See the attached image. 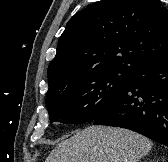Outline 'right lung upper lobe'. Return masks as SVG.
<instances>
[{
  "instance_id": "right-lung-upper-lobe-1",
  "label": "right lung upper lobe",
  "mask_w": 168,
  "mask_h": 162,
  "mask_svg": "<svg viewBox=\"0 0 168 162\" xmlns=\"http://www.w3.org/2000/svg\"><path fill=\"white\" fill-rule=\"evenodd\" d=\"M167 57L168 10L159 0H101L67 23L48 67L49 90L89 75H131Z\"/></svg>"
}]
</instances>
